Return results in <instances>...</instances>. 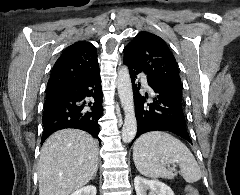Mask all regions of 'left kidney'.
Returning a JSON list of instances; mask_svg holds the SVG:
<instances>
[{
	"instance_id": "left-kidney-1",
	"label": "left kidney",
	"mask_w": 240,
	"mask_h": 195,
	"mask_svg": "<svg viewBox=\"0 0 240 195\" xmlns=\"http://www.w3.org/2000/svg\"><path fill=\"white\" fill-rule=\"evenodd\" d=\"M134 187L137 195H147V189H150L148 195H174L173 189L163 181L145 179L141 175L134 177Z\"/></svg>"
}]
</instances>
